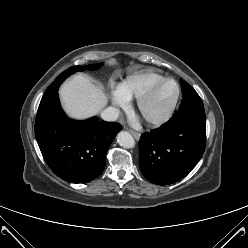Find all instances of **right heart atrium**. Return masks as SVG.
I'll return each mask as SVG.
<instances>
[{"mask_svg": "<svg viewBox=\"0 0 248 248\" xmlns=\"http://www.w3.org/2000/svg\"><path fill=\"white\" fill-rule=\"evenodd\" d=\"M111 101L117 107H126L128 98L122 93L120 86H111Z\"/></svg>", "mask_w": 248, "mask_h": 248, "instance_id": "d8ad5b80", "label": "right heart atrium"}]
</instances>
